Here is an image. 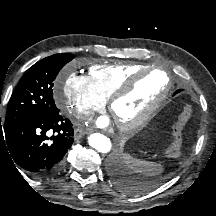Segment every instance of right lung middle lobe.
<instances>
[{
    "label": "right lung middle lobe",
    "mask_w": 216,
    "mask_h": 216,
    "mask_svg": "<svg viewBox=\"0 0 216 216\" xmlns=\"http://www.w3.org/2000/svg\"><path fill=\"white\" fill-rule=\"evenodd\" d=\"M74 57L68 53L55 54L31 66L10 98L4 124L59 113L53 99L54 80L63 66Z\"/></svg>",
    "instance_id": "right-lung-middle-lobe-1"
}]
</instances>
